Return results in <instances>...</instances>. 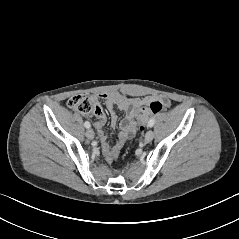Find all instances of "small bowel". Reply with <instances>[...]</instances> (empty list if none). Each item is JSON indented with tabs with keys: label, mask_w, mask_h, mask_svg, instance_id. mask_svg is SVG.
<instances>
[{
	"label": "small bowel",
	"mask_w": 239,
	"mask_h": 239,
	"mask_svg": "<svg viewBox=\"0 0 239 239\" xmlns=\"http://www.w3.org/2000/svg\"><path fill=\"white\" fill-rule=\"evenodd\" d=\"M90 100L94 104L93 115L96 117L94 127L97 129L98 135L102 143V150L107 160H113L123 143L131 138L136 131L135 111L143 104L153 101L152 97L135 98L128 97L119 92H110L97 95H91ZM99 100H103L106 108L110 113L111 127H116L118 123V116L115 109L118 108L125 112V118L120 123V131L117 136V142L111 146L108 142L106 133L104 132V125L106 123V115L99 104ZM165 105H169L168 100H164Z\"/></svg>",
	"instance_id": "1"
}]
</instances>
